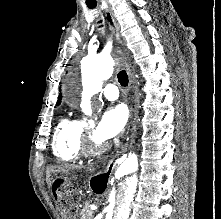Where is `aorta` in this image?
Masks as SVG:
<instances>
[{
    "label": "aorta",
    "instance_id": "aorta-1",
    "mask_svg": "<svg viewBox=\"0 0 221 219\" xmlns=\"http://www.w3.org/2000/svg\"><path fill=\"white\" fill-rule=\"evenodd\" d=\"M114 60L110 55L101 54L82 61V69L90 77L89 96L82 99L81 108L87 115L92 113L91 96L100 92L102 81L110 78L114 70ZM141 173V159L133 154L115 170L114 181L109 196L108 217L128 219L131 203L135 197Z\"/></svg>",
    "mask_w": 221,
    "mask_h": 219
}]
</instances>
